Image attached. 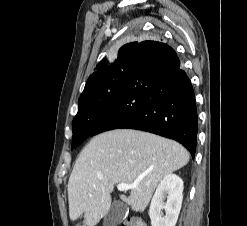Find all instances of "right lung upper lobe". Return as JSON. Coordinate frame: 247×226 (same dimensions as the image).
Masks as SVG:
<instances>
[{"label": "right lung upper lobe", "instance_id": "obj_1", "mask_svg": "<svg viewBox=\"0 0 247 226\" xmlns=\"http://www.w3.org/2000/svg\"><path fill=\"white\" fill-rule=\"evenodd\" d=\"M137 44H138V42H132V43H128V44L122 46L119 49V54L120 55H127V56L131 57L132 54H133V51H134L135 47L137 46ZM106 62H107L106 59H103L101 62H99L97 64V66L95 68V72L89 76L83 92H85L86 90H88L93 85V83L95 82V80L100 75L101 71L105 68Z\"/></svg>", "mask_w": 247, "mask_h": 226}]
</instances>
